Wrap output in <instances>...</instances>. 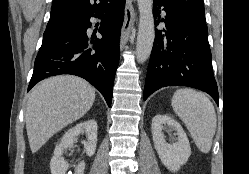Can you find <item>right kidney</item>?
Masks as SVG:
<instances>
[{
  "mask_svg": "<svg viewBox=\"0 0 249 174\" xmlns=\"http://www.w3.org/2000/svg\"><path fill=\"white\" fill-rule=\"evenodd\" d=\"M83 133L87 135V141H84L86 155H94L97 145V123L94 120H88L69 129L55 147L54 155L50 161L52 174H66L69 165L62 157V154L65 149L72 148L78 136ZM84 169L85 162L82 161L76 166L75 174H84Z\"/></svg>",
  "mask_w": 249,
  "mask_h": 174,
  "instance_id": "obj_1",
  "label": "right kidney"
}]
</instances>
